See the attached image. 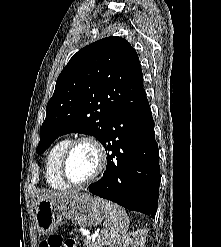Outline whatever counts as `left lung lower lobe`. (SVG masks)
Instances as JSON below:
<instances>
[{"mask_svg": "<svg viewBox=\"0 0 221 247\" xmlns=\"http://www.w3.org/2000/svg\"><path fill=\"white\" fill-rule=\"evenodd\" d=\"M103 146L111 153L103 177L89 191L129 210L155 217L160 185L158 144L148 101L114 117Z\"/></svg>", "mask_w": 221, "mask_h": 247, "instance_id": "obj_1", "label": "left lung lower lobe"}]
</instances>
